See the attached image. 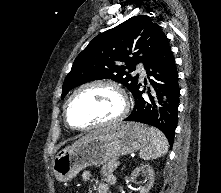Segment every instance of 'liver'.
Listing matches in <instances>:
<instances>
[{
	"mask_svg": "<svg viewBox=\"0 0 221 193\" xmlns=\"http://www.w3.org/2000/svg\"><path fill=\"white\" fill-rule=\"evenodd\" d=\"M108 129H105V130H98V131H94V132H91L90 134H88L87 136L83 137L82 139H80L78 142L82 141L83 139L87 138V137H90V136H94V135H97V134H100L102 132H105L107 131ZM78 142H75L74 144L78 143Z\"/></svg>",
	"mask_w": 221,
	"mask_h": 193,
	"instance_id": "liver-1",
	"label": "liver"
}]
</instances>
